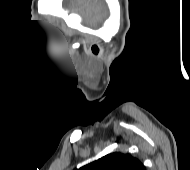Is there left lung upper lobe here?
Wrapping results in <instances>:
<instances>
[{
  "mask_svg": "<svg viewBox=\"0 0 190 170\" xmlns=\"http://www.w3.org/2000/svg\"><path fill=\"white\" fill-rule=\"evenodd\" d=\"M77 170H146L145 166L128 152H114Z\"/></svg>",
  "mask_w": 190,
  "mask_h": 170,
  "instance_id": "obj_1",
  "label": "left lung upper lobe"
}]
</instances>
